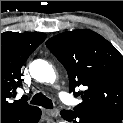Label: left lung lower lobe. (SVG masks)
<instances>
[{"instance_id":"0a47b994","label":"left lung lower lobe","mask_w":123,"mask_h":123,"mask_svg":"<svg viewBox=\"0 0 123 123\" xmlns=\"http://www.w3.org/2000/svg\"><path fill=\"white\" fill-rule=\"evenodd\" d=\"M61 116L72 123H121L118 118L93 110L77 112L62 110Z\"/></svg>"}]
</instances>
